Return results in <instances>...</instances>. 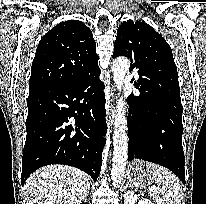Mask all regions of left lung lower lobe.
<instances>
[{
    "instance_id": "left-lung-lower-lobe-1",
    "label": "left lung lower lobe",
    "mask_w": 206,
    "mask_h": 204,
    "mask_svg": "<svg viewBox=\"0 0 206 204\" xmlns=\"http://www.w3.org/2000/svg\"><path fill=\"white\" fill-rule=\"evenodd\" d=\"M138 74L135 86L141 93L127 98L128 161L139 158L157 163L174 172L185 183L180 89L173 84L147 88L145 68H139Z\"/></svg>"
}]
</instances>
